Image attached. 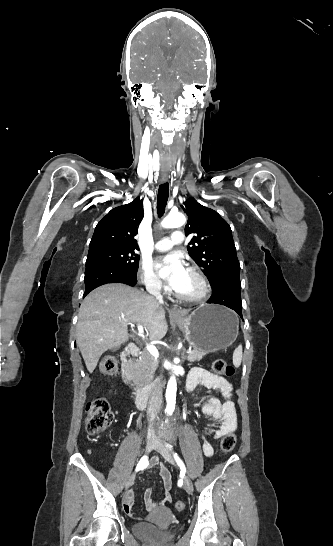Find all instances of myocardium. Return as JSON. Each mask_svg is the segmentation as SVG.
<instances>
[{
	"mask_svg": "<svg viewBox=\"0 0 333 546\" xmlns=\"http://www.w3.org/2000/svg\"><path fill=\"white\" fill-rule=\"evenodd\" d=\"M189 272H191L192 274H194L197 279L200 281L201 283V286H202V290L199 294L197 295H194V296H187V295H183L179 292H176V296L183 300V301H187V302H201L203 301L204 299H206L210 292H211V286H210V283L207 279V277L204 275V273L197 267L195 266H191L189 267Z\"/></svg>",
	"mask_w": 333,
	"mask_h": 546,
	"instance_id": "1",
	"label": "myocardium"
}]
</instances>
